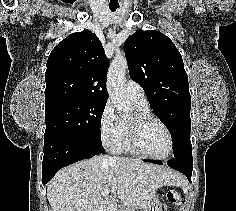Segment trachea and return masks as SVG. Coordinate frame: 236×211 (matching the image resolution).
<instances>
[{
  "instance_id": "obj_1",
  "label": "trachea",
  "mask_w": 236,
  "mask_h": 211,
  "mask_svg": "<svg viewBox=\"0 0 236 211\" xmlns=\"http://www.w3.org/2000/svg\"><path fill=\"white\" fill-rule=\"evenodd\" d=\"M109 9H110L111 12H114V11H116L117 6H115V7H111V6H109Z\"/></svg>"
}]
</instances>
